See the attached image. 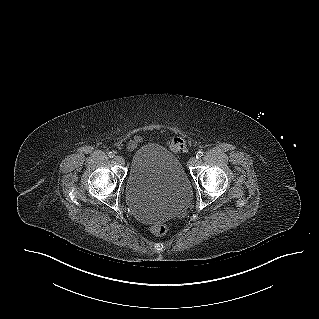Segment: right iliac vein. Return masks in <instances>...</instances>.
Wrapping results in <instances>:
<instances>
[{"mask_svg":"<svg viewBox=\"0 0 319 319\" xmlns=\"http://www.w3.org/2000/svg\"><path fill=\"white\" fill-rule=\"evenodd\" d=\"M114 161L119 164V165H124L125 164V160L122 156H115L114 157Z\"/></svg>","mask_w":319,"mask_h":319,"instance_id":"1","label":"right iliac vein"}]
</instances>
